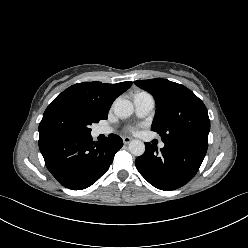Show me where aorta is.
<instances>
[{
    "instance_id": "1",
    "label": "aorta",
    "mask_w": 248,
    "mask_h": 248,
    "mask_svg": "<svg viewBox=\"0 0 248 248\" xmlns=\"http://www.w3.org/2000/svg\"><path fill=\"white\" fill-rule=\"evenodd\" d=\"M113 110L117 116L127 118L132 115L134 107L129 100L118 98L113 104ZM128 148L130 153L135 156H141L145 152V144L141 140H132Z\"/></svg>"
}]
</instances>
